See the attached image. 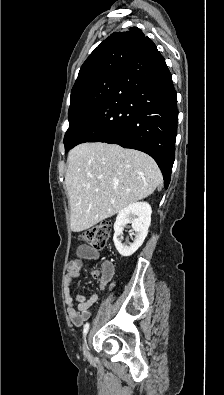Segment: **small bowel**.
I'll return each instance as SVG.
<instances>
[{"instance_id": "c3829d8e", "label": "small bowel", "mask_w": 224, "mask_h": 395, "mask_svg": "<svg viewBox=\"0 0 224 395\" xmlns=\"http://www.w3.org/2000/svg\"><path fill=\"white\" fill-rule=\"evenodd\" d=\"M99 252L97 249L89 245H80L77 249V257L71 260L66 266L65 276V296L67 304V312L71 322L76 325H82L91 316L90 308L97 302L98 295L92 294L86 297L81 293L71 288L73 281L79 275L81 269L84 267V259L97 260ZM114 275L113 267L110 266L109 275L99 283V288L103 289L109 283ZM113 285V284H112Z\"/></svg>"}]
</instances>
